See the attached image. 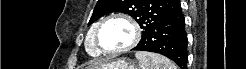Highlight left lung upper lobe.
I'll return each instance as SVG.
<instances>
[{
	"label": "left lung upper lobe",
	"instance_id": "5c2ea615",
	"mask_svg": "<svg viewBox=\"0 0 246 69\" xmlns=\"http://www.w3.org/2000/svg\"><path fill=\"white\" fill-rule=\"evenodd\" d=\"M179 5V0H98L88 25L105 14L122 12L132 16L143 33Z\"/></svg>",
	"mask_w": 246,
	"mask_h": 69
}]
</instances>
